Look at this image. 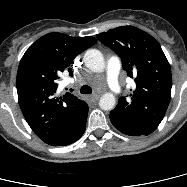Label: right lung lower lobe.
<instances>
[{
    "mask_svg": "<svg viewBox=\"0 0 187 187\" xmlns=\"http://www.w3.org/2000/svg\"><path fill=\"white\" fill-rule=\"evenodd\" d=\"M87 114L88 111L85 113V115L82 117L78 125L69 133L64 139L57 142L53 146H66L69 145L75 141H77L84 133L86 128V121H87Z\"/></svg>",
    "mask_w": 187,
    "mask_h": 187,
    "instance_id": "right-lung-lower-lobe-1",
    "label": "right lung lower lobe"
}]
</instances>
